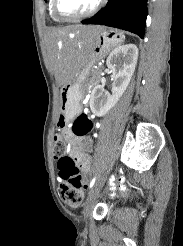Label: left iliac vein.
I'll list each match as a JSON object with an SVG mask.
<instances>
[{"label": "left iliac vein", "instance_id": "obj_1", "mask_svg": "<svg viewBox=\"0 0 183 246\" xmlns=\"http://www.w3.org/2000/svg\"><path fill=\"white\" fill-rule=\"evenodd\" d=\"M101 186H102V183L100 181V182L96 183V185L89 192V195L87 197V200H86L85 206H84V210H83V216H84L85 222H87L89 212H90V210L94 204V201L96 200V198L99 194Z\"/></svg>", "mask_w": 183, "mask_h": 246}]
</instances>
